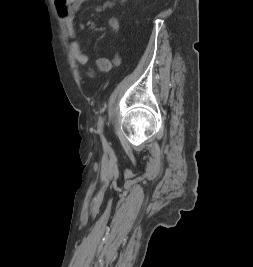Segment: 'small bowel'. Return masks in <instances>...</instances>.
<instances>
[{
  "label": "small bowel",
  "mask_w": 253,
  "mask_h": 267,
  "mask_svg": "<svg viewBox=\"0 0 253 267\" xmlns=\"http://www.w3.org/2000/svg\"><path fill=\"white\" fill-rule=\"evenodd\" d=\"M57 12L65 24L67 35L70 39V50L73 57L81 64L85 65L88 61L87 56L82 52L80 44L76 38V32L74 28V18L75 14L81 7V5L86 0H69V2H62V0H54ZM117 0H109L104 2L101 6H98L94 9L95 12H102L106 9L111 8L114 5V2ZM121 1V0H119ZM111 28L117 32L119 30L120 24L119 20L116 17H112L109 20ZM118 60L115 59V63Z\"/></svg>",
  "instance_id": "small-bowel-1"
}]
</instances>
